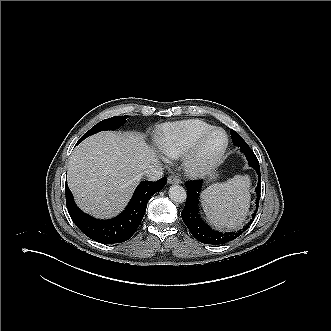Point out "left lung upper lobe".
<instances>
[{
	"mask_svg": "<svg viewBox=\"0 0 331 331\" xmlns=\"http://www.w3.org/2000/svg\"><path fill=\"white\" fill-rule=\"evenodd\" d=\"M231 136H236L238 138H241L240 135L238 133H236L234 130H231ZM242 139V138H241ZM245 148H242L243 153L245 154L247 160L249 162H252L254 164H259L254 152L250 149V147L247 145V143L245 142L244 145Z\"/></svg>",
	"mask_w": 331,
	"mask_h": 331,
	"instance_id": "obj_1",
	"label": "left lung upper lobe"
}]
</instances>
